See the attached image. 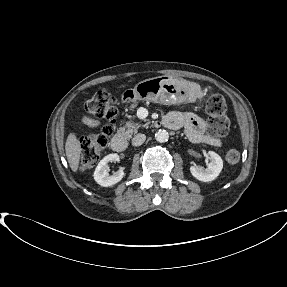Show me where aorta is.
<instances>
[{
    "mask_svg": "<svg viewBox=\"0 0 287 287\" xmlns=\"http://www.w3.org/2000/svg\"><path fill=\"white\" fill-rule=\"evenodd\" d=\"M155 139L160 143L167 142L169 139V133L166 130H158L155 134Z\"/></svg>",
    "mask_w": 287,
    "mask_h": 287,
    "instance_id": "762f6f07",
    "label": "aorta"
}]
</instances>
